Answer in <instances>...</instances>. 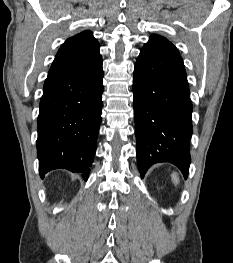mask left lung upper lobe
Segmentation results:
<instances>
[{"mask_svg": "<svg viewBox=\"0 0 233 263\" xmlns=\"http://www.w3.org/2000/svg\"><path fill=\"white\" fill-rule=\"evenodd\" d=\"M151 37H161V36H159V35H151ZM164 38V37H163Z\"/></svg>", "mask_w": 233, "mask_h": 263, "instance_id": "left-lung-upper-lobe-1", "label": "left lung upper lobe"}]
</instances>
